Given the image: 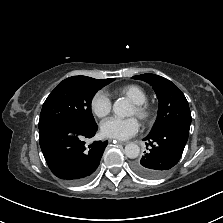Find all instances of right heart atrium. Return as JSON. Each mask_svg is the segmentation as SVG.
Here are the masks:
<instances>
[{
    "mask_svg": "<svg viewBox=\"0 0 223 223\" xmlns=\"http://www.w3.org/2000/svg\"><path fill=\"white\" fill-rule=\"evenodd\" d=\"M112 109V102L109 95L104 91H98L91 100V110L98 118H105Z\"/></svg>",
    "mask_w": 223,
    "mask_h": 223,
    "instance_id": "obj_1",
    "label": "right heart atrium"
}]
</instances>
